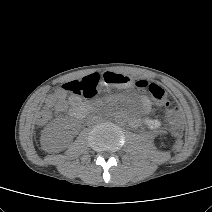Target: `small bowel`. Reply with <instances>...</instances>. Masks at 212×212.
<instances>
[{
    "mask_svg": "<svg viewBox=\"0 0 212 212\" xmlns=\"http://www.w3.org/2000/svg\"><path fill=\"white\" fill-rule=\"evenodd\" d=\"M81 100L79 97L70 96L68 98L65 97L64 94L56 93L54 95L49 96L46 99V105L50 108H55L57 112H62L66 110L69 106L73 107L77 104H80ZM144 111L148 112L150 109V104L148 101H144L143 103ZM146 123L151 128H156L159 126V121L156 119H147Z\"/></svg>",
    "mask_w": 212,
    "mask_h": 212,
    "instance_id": "small-bowel-1",
    "label": "small bowel"
}]
</instances>
